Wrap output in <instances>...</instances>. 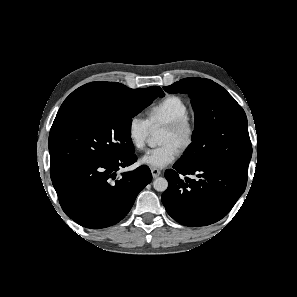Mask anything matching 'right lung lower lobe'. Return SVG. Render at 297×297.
<instances>
[{
	"instance_id": "1",
	"label": "right lung lower lobe",
	"mask_w": 297,
	"mask_h": 297,
	"mask_svg": "<svg viewBox=\"0 0 297 297\" xmlns=\"http://www.w3.org/2000/svg\"><path fill=\"white\" fill-rule=\"evenodd\" d=\"M134 153L83 160L51 174L63 211L79 225L100 229L122 220L138 193L152 180L149 167L117 173L136 162Z\"/></svg>"
}]
</instances>
